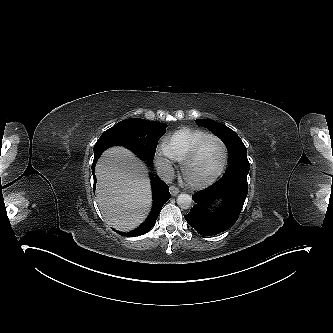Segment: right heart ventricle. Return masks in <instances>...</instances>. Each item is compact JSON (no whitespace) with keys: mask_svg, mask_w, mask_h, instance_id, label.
<instances>
[{"mask_svg":"<svg viewBox=\"0 0 333 333\" xmlns=\"http://www.w3.org/2000/svg\"><path fill=\"white\" fill-rule=\"evenodd\" d=\"M209 135L200 129L181 128L165 140V147L172 159L181 162L190 149L202 138Z\"/></svg>","mask_w":333,"mask_h":333,"instance_id":"right-heart-ventricle-1","label":"right heart ventricle"}]
</instances>
